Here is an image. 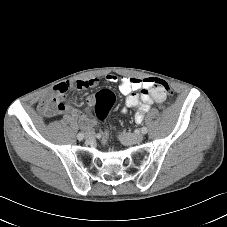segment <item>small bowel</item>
<instances>
[{
	"mask_svg": "<svg viewBox=\"0 0 227 227\" xmlns=\"http://www.w3.org/2000/svg\"><path fill=\"white\" fill-rule=\"evenodd\" d=\"M105 79L109 83H117L119 92L125 97V107L122 109V113H126L131 108L137 109L135 120L138 123L143 121L153 104H162L166 100V92L159 85L152 86L150 84L151 78L120 77L115 74H108ZM98 84L99 79L97 78L60 83L42 97L39 110L46 117L66 113L77 119L83 128H88L93 124L88 115V110L81 111L74 108L70 103L65 102L64 95L72 88L85 89L96 87ZM94 100V96L87 98L89 107L93 105Z\"/></svg>",
	"mask_w": 227,
	"mask_h": 227,
	"instance_id": "small-bowel-1",
	"label": "small bowel"
}]
</instances>
